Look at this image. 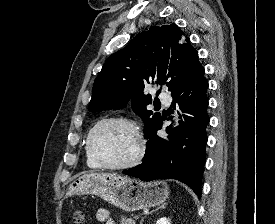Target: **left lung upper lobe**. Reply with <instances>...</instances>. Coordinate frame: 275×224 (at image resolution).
<instances>
[{"label":"left lung upper lobe","mask_w":275,"mask_h":224,"mask_svg":"<svg viewBox=\"0 0 275 224\" xmlns=\"http://www.w3.org/2000/svg\"><path fill=\"white\" fill-rule=\"evenodd\" d=\"M201 68L198 52L177 25L151 27L107 59L94 82L88 109L122 108L131 99L132 109L144 120L145 136L161 121L160 114L146 109L152 97L144 95L145 86L166 85L172 93Z\"/></svg>","instance_id":"5c2ea615"}]
</instances>
